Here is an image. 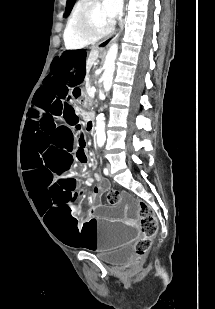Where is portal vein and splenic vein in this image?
Here are the masks:
<instances>
[{"label": "portal vein and splenic vein", "instance_id": "1", "mask_svg": "<svg viewBox=\"0 0 215 309\" xmlns=\"http://www.w3.org/2000/svg\"><path fill=\"white\" fill-rule=\"evenodd\" d=\"M89 90H90L89 94H94V92H96L95 86H92V88H89Z\"/></svg>", "mask_w": 215, "mask_h": 309}]
</instances>
